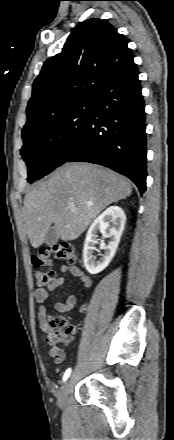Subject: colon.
Wrapping results in <instances>:
<instances>
[{
	"mask_svg": "<svg viewBox=\"0 0 174 440\" xmlns=\"http://www.w3.org/2000/svg\"><path fill=\"white\" fill-rule=\"evenodd\" d=\"M54 259L75 263L78 259L76 249L68 243L62 242L41 247L32 256V263L36 268L51 266ZM56 274L53 270L38 269L35 273L37 285L41 288L48 287ZM47 340L53 347L68 344L72 339L73 329L64 317L56 316L49 319Z\"/></svg>",
	"mask_w": 174,
	"mask_h": 440,
	"instance_id": "1",
	"label": "colon"
}]
</instances>
